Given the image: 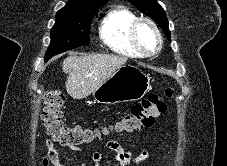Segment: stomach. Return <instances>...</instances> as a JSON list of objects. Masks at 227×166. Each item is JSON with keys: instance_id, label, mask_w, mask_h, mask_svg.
Masks as SVG:
<instances>
[{"instance_id": "0dacf381", "label": "stomach", "mask_w": 227, "mask_h": 166, "mask_svg": "<svg viewBox=\"0 0 227 166\" xmlns=\"http://www.w3.org/2000/svg\"><path fill=\"white\" fill-rule=\"evenodd\" d=\"M150 77L133 65H123L93 92L95 101L115 104L140 100L150 90Z\"/></svg>"}]
</instances>
